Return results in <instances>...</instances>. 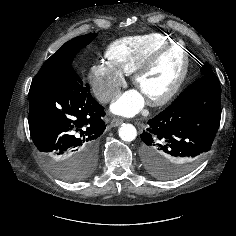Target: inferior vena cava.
Instances as JSON below:
<instances>
[{
  "label": "inferior vena cava",
  "mask_w": 236,
  "mask_h": 236,
  "mask_svg": "<svg viewBox=\"0 0 236 236\" xmlns=\"http://www.w3.org/2000/svg\"><path fill=\"white\" fill-rule=\"evenodd\" d=\"M115 97V92H106L100 96V101L106 103Z\"/></svg>",
  "instance_id": "obj_1"
}]
</instances>
